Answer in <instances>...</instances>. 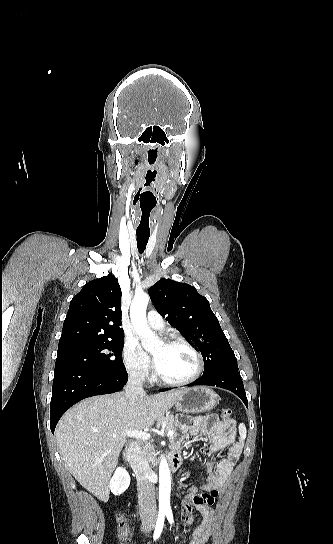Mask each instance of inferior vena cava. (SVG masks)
<instances>
[{"label":"inferior vena cava","instance_id":"602c4592","mask_svg":"<svg viewBox=\"0 0 333 544\" xmlns=\"http://www.w3.org/2000/svg\"><path fill=\"white\" fill-rule=\"evenodd\" d=\"M144 394L145 392L143 390L142 377L138 373L132 372L129 375V379L125 387L126 397L132 398ZM129 453L131 455V467L135 472L137 480L140 517L143 520L153 518L157 514L155 489L153 483L150 481L152 470L146 458L145 451L142 450L138 443L132 442L129 445Z\"/></svg>","mask_w":333,"mask_h":544}]
</instances>
